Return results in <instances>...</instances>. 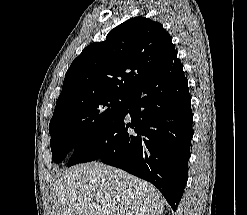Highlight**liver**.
<instances>
[{
    "instance_id": "6515ba94",
    "label": "liver",
    "mask_w": 247,
    "mask_h": 215,
    "mask_svg": "<svg viewBox=\"0 0 247 215\" xmlns=\"http://www.w3.org/2000/svg\"><path fill=\"white\" fill-rule=\"evenodd\" d=\"M53 215H163L150 183L100 162L66 170L53 187Z\"/></svg>"
}]
</instances>
